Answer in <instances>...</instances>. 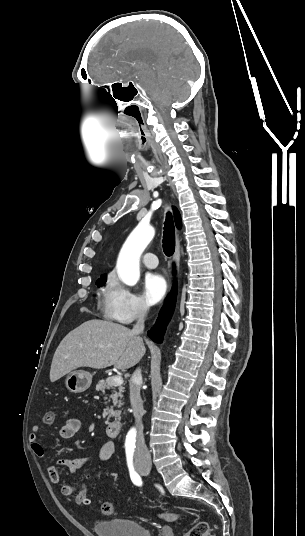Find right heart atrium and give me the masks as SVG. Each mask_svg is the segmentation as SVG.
<instances>
[{
  "label": "right heart atrium",
  "mask_w": 305,
  "mask_h": 536,
  "mask_svg": "<svg viewBox=\"0 0 305 536\" xmlns=\"http://www.w3.org/2000/svg\"><path fill=\"white\" fill-rule=\"evenodd\" d=\"M148 302L130 289L112 281L105 295V315L121 324H130L149 312Z\"/></svg>",
  "instance_id": "right-heart-atrium-1"
}]
</instances>
